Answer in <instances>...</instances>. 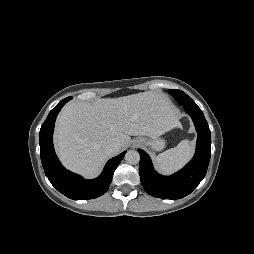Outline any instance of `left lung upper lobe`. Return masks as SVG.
Returning <instances> with one entry per match:
<instances>
[{"label":"left lung upper lobe","mask_w":254,"mask_h":254,"mask_svg":"<svg viewBox=\"0 0 254 254\" xmlns=\"http://www.w3.org/2000/svg\"><path fill=\"white\" fill-rule=\"evenodd\" d=\"M169 93L178 101L183 107L199 108L196 103L181 90H169Z\"/></svg>","instance_id":"left-lung-upper-lobe-1"}]
</instances>
